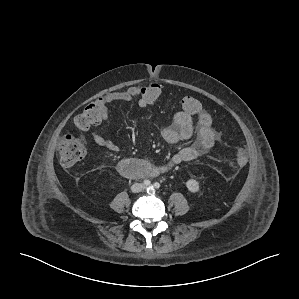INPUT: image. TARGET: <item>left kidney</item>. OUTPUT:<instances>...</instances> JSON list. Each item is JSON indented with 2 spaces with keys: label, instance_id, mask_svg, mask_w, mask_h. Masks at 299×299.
<instances>
[{
  "label": "left kidney",
  "instance_id": "left-kidney-1",
  "mask_svg": "<svg viewBox=\"0 0 299 299\" xmlns=\"http://www.w3.org/2000/svg\"><path fill=\"white\" fill-rule=\"evenodd\" d=\"M186 187L192 193H196L199 191V183L195 179H189L186 182Z\"/></svg>",
  "mask_w": 299,
  "mask_h": 299
}]
</instances>
